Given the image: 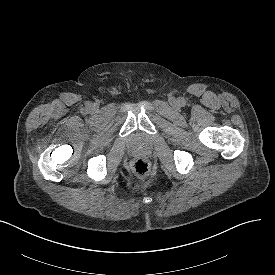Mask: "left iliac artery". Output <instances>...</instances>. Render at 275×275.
<instances>
[{
  "label": "left iliac artery",
  "mask_w": 275,
  "mask_h": 275,
  "mask_svg": "<svg viewBox=\"0 0 275 275\" xmlns=\"http://www.w3.org/2000/svg\"><path fill=\"white\" fill-rule=\"evenodd\" d=\"M180 104H181V105H184V104H185V100H184V99H181V100H180Z\"/></svg>",
  "instance_id": "1"
}]
</instances>
